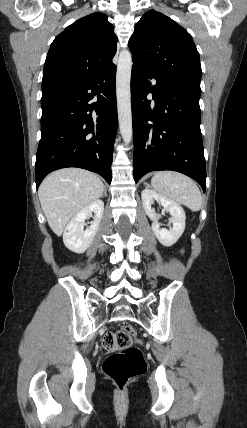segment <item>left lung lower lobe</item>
<instances>
[{"label":"left lung lower lobe","instance_id":"0a47b994","mask_svg":"<svg viewBox=\"0 0 247 428\" xmlns=\"http://www.w3.org/2000/svg\"><path fill=\"white\" fill-rule=\"evenodd\" d=\"M151 79L157 83L151 85ZM149 93L153 105L147 99ZM199 98V91L171 83L134 62L131 105L136 183L148 172L173 170L196 180L205 192Z\"/></svg>","mask_w":247,"mask_h":428}]
</instances>
